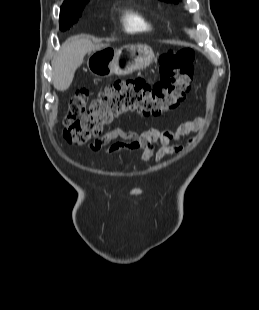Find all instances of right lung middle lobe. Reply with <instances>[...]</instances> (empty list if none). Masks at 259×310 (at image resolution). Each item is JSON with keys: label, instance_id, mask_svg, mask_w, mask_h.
<instances>
[{"label": "right lung middle lobe", "instance_id": "dd1d6c3e", "mask_svg": "<svg viewBox=\"0 0 259 310\" xmlns=\"http://www.w3.org/2000/svg\"><path fill=\"white\" fill-rule=\"evenodd\" d=\"M87 1H83L80 4L69 8V9H61L60 11V29L65 31L69 29L75 22H77L78 18L81 16V12L85 6Z\"/></svg>", "mask_w": 259, "mask_h": 310}]
</instances>
